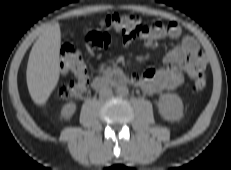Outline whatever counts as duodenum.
<instances>
[{
    "mask_svg": "<svg viewBox=\"0 0 231 170\" xmlns=\"http://www.w3.org/2000/svg\"><path fill=\"white\" fill-rule=\"evenodd\" d=\"M133 83H134L133 79L124 77L120 72H113L107 77L105 76L96 77L92 82V86L94 89L99 90L107 85L119 86L123 84H133Z\"/></svg>",
    "mask_w": 231,
    "mask_h": 170,
    "instance_id": "410a0bca",
    "label": "duodenum"
}]
</instances>
